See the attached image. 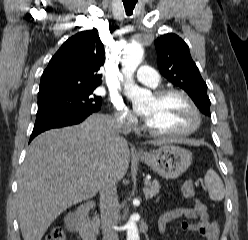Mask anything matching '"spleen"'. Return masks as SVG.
Instances as JSON below:
<instances>
[{"mask_svg": "<svg viewBox=\"0 0 248 240\" xmlns=\"http://www.w3.org/2000/svg\"><path fill=\"white\" fill-rule=\"evenodd\" d=\"M204 182L210 199L213 201H221L224 198V184L219 175L213 169L207 171L204 176Z\"/></svg>", "mask_w": 248, "mask_h": 240, "instance_id": "spleen-1", "label": "spleen"}]
</instances>
